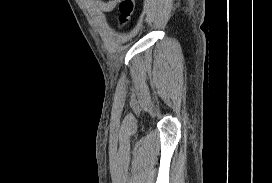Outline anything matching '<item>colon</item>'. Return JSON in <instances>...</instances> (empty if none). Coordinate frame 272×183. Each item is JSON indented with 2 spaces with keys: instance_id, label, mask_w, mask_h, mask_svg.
I'll return each instance as SVG.
<instances>
[{
  "instance_id": "obj_1",
  "label": "colon",
  "mask_w": 272,
  "mask_h": 183,
  "mask_svg": "<svg viewBox=\"0 0 272 183\" xmlns=\"http://www.w3.org/2000/svg\"><path fill=\"white\" fill-rule=\"evenodd\" d=\"M135 9L134 0H119L118 10L120 13V22L125 23L133 14Z\"/></svg>"
}]
</instances>
